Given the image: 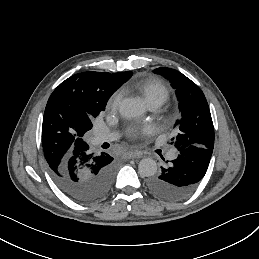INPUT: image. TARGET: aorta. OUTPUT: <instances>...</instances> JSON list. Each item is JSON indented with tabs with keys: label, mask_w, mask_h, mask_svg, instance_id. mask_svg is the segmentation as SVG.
<instances>
[{
	"label": "aorta",
	"mask_w": 259,
	"mask_h": 259,
	"mask_svg": "<svg viewBox=\"0 0 259 259\" xmlns=\"http://www.w3.org/2000/svg\"><path fill=\"white\" fill-rule=\"evenodd\" d=\"M119 112L127 118H134L145 112L143 103L137 98H125L119 105ZM138 171L142 177L154 176L157 172V163L152 158H144L138 164Z\"/></svg>",
	"instance_id": "762f6f07"
}]
</instances>
